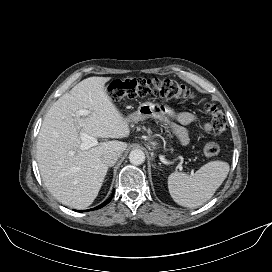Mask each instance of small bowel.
I'll return each mask as SVG.
<instances>
[{"label":"small bowel","mask_w":272,"mask_h":272,"mask_svg":"<svg viewBox=\"0 0 272 272\" xmlns=\"http://www.w3.org/2000/svg\"><path fill=\"white\" fill-rule=\"evenodd\" d=\"M195 121H197V117L191 113L185 112V113H181L178 116L179 126H177L176 131H177L182 143L187 142V134L184 130V126L188 125L192 122H195ZM203 127L206 131H211L213 128L211 123H205V124H203Z\"/></svg>","instance_id":"1"}]
</instances>
